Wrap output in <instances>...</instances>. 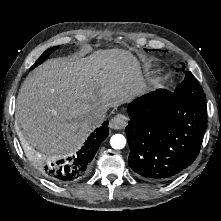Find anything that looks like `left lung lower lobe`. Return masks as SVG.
I'll list each match as a JSON object with an SVG mask.
<instances>
[{
	"mask_svg": "<svg viewBox=\"0 0 221 221\" xmlns=\"http://www.w3.org/2000/svg\"><path fill=\"white\" fill-rule=\"evenodd\" d=\"M127 110L128 163L138 177L169 181L194 162L207 127L205 100L158 89L134 100Z\"/></svg>",
	"mask_w": 221,
	"mask_h": 221,
	"instance_id": "1",
	"label": "left lung lower lobe"
}]
</instances>
